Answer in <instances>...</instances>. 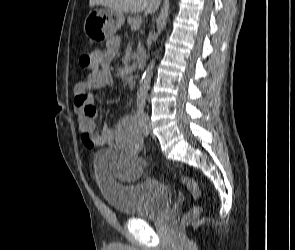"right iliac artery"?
I'll list each match as a JSON object with an SVG mask.
<instances>
[{
	"mask_svg": "<svg viewBox=\"0 0 295 250\" xmlns=\"http://www.w3.org/2000/svg\"><path fill=\"white\" fill-rule=\"evenodd\" d=\"M137 118H138V123L141 128L146 129V120H145V115H144V110L139 109L137 111Z\"/></svg>",
	"mask_w": 295,
	"mask_h": 250,
	"instance_id": "1",
	"label": "right iliac artery"
}]
</instances>
